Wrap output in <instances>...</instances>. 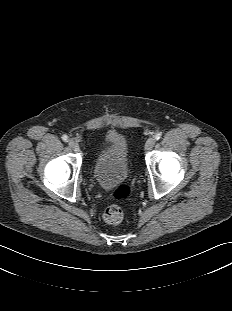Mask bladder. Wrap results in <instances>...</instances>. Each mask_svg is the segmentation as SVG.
<instances>
[{"label":"bladder","mask_w":232,"mask_h":311,"mask_svg":"<svg viewBox=\"0 0 232 311\" xmlns=\"http://www.w3.org/2000/svg\"><path fill=\"white\" fill-rule=\"evenodd\" d=\"M128 156L125 137L116 130L106 132L93 165V179L104 189L121 186L129 173Z\"/></svg>","instance_id":"31cf9c89"}]
</instances>
